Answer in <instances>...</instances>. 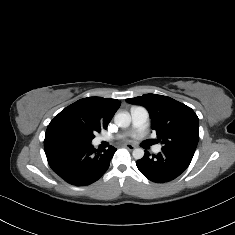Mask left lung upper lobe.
<instances>
[{
	"mask_svg": "<svg viewBox=\"0 0 235 235\" xmlns=\"http://www.w3.org/2000/svg\"><path fill=\"white\" fill-rule=\"evenodd\" d=\"M126 101L148 109L151 127L157 133V141L163 144L162 149L193 157L199 140V119L190 107L157 94H146Z\"/></svg>",
	"mask_w": 235,
	"mask_h": 235,
	"instance_id": "left-lung-upper-lobe-1",
	"label": "left lung upper lobe"
}]
</instances>
